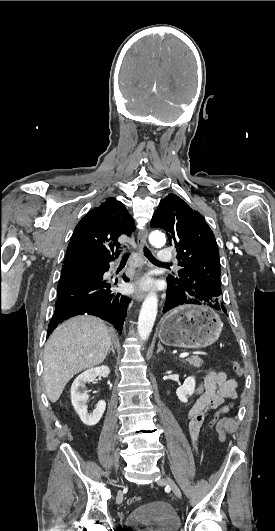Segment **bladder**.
I'll return each instance as SVG.
<instances>
[{
    "mask_svg": "<svg viewBox=\"0 0 275 531\" xmlns=\"http://www.w3.org/2000/svg\"><path fill=\"white\" fill-rule=\"evenodd\" d=\"M128 528H135V531H180V519L170 504L153 501L133 508Z\"/></svg>",
    "mask_w": 275,
    "mask_h": 531,
    "instance_id": "bladder-1",
    "label": "bladder"
}]
</instances>
